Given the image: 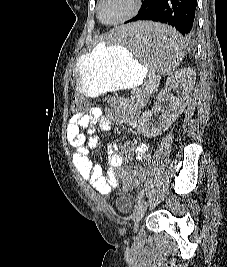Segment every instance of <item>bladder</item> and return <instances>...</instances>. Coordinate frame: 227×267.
<instances>
[{"instance_id": "1", "label": "bladder", "mask_w": 227, "mask_h": 267, "mask_svg": "<svg viewBox=\"0 0 227 267\" xmlns=\"http://www.w3.org/2000/svg\"><path fill=\"white\" fill-rule=\"evenodd\" d=\"M115 205L120 213H127L130 207V199L127 196L120 197L116 200Z\"/></svg>"}]
</instances>
